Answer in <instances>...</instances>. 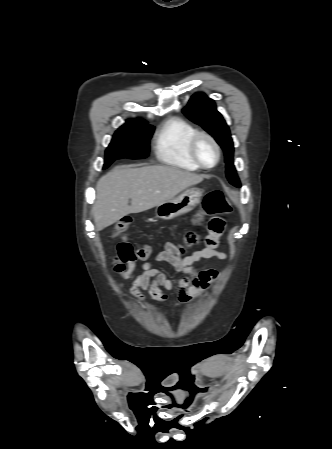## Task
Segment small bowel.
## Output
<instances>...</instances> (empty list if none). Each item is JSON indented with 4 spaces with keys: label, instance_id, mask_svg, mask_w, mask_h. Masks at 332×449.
<instances>
[{
    "label": "small bowel",
    "instance_id": "c3829d8e",
    "mask_svg": "<svg viewBox=\"0 0 332 449\" xmlns=\"http://www.w3.org/2000/svg\"><path fill=\"white\" fill-rule=\"evenodd\" d=\"M224 229L225 222L222 218L212 219L207 225L208 233L202 241V248L192 254H186L181 245L165 242L164 250L154 258H150L152 248L145 245L135 250L137 259L143 260L141 273H135L134 262L115 266V271L123 281H132L129 291L138 300H144L147 293L152 299L164 302L167 300V295L163 290H175L180 305L188 304L201 297L218 278L217 270H197L195 264L208 259L221 261L228 259L225 252L218 250ZM155 263H167L177 272L183 273L184 277L174 284L163 270L154 267ZM119 285L122 286L123 282Z\"/></svg>",
    "mask_w": 332,
    "mask_h": 449
}]
</instances>
